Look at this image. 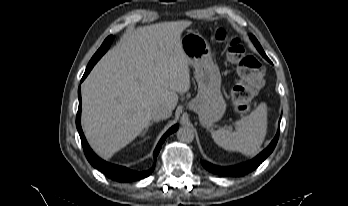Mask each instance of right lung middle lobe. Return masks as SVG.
Here are the masks:
<instances>
[{
  "mask_svg": "<svg viewBox=\"0 0 348 206\" xmlns=\"http://www.w3.org/2000/svg\"><path fill=\"white\" fill-rule=\"evenodd\" d=\"M113 39V36H109L108 38H106V40L103 42L102 46L105 47V46H110L111 44V41Z\"/></svg>",
  "mask_w": 348,
  "mask_h": 206,
  "instance_id": "obj_1",
  "label": "right lung middle lobe"
}]
</instances>
